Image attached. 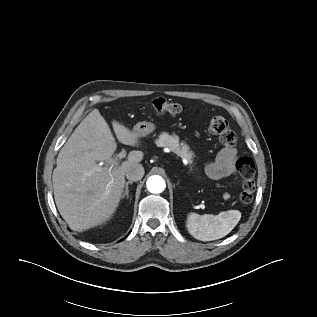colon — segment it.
<instances>
[{
  "label": "colon",
  "mask_w": 317,
  "mask_h": 317,
  "mask_svg": "<svg viewBox=\"0 0 317 317\" xmlns=\"http://www.w3.org/2000/svg\"><path fill=\"white\" fill-rule=\"evenodd\" d=\"M153 110L158 114L177 115L183 108L179 103L165 98H156L152 102ZM211 133L216 135L222 146L232 148L237 143V136L230 129L227 120L222 116L211 117L208 125ZM236 170L243 179L242 190L240 192V201L248 204L252 201L255 192V174L256 168L254 161L250 157H240L236 161Z\"/></svg>",
  "instance_id": "5ec220e1"
}]
</instances>
